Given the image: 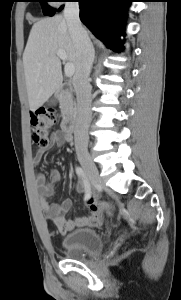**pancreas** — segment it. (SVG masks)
<instances>
[{
    "mask_svg": "<svg viewBox=\"0 0 181 300\" xmlns=\"http://www.w3.org/2000/svg\"><path fill=\"white\" fill-rule=\"evenodd\" d=\"M60 109L63 116L72 114L74 112L75 102L73 96L69 91H64L59 97Z\"/></svg>",
    "mask_w": 181,
    "mask_h": 300,
    "instance_id": "1",
    "label": "pancreas"
}]
</instances>
